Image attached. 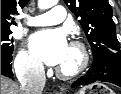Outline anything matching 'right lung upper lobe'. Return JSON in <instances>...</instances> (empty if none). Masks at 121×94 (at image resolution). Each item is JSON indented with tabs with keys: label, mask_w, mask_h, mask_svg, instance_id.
<instances>
[{
	"label": "right lung upper lobe",
	"mask_w": 121,
	"mask_h": 94,
	"mask_svg": "<svg viewBox=\"0 0 121 94\" xmlns=\"http://www.w3.org/2000/svg\"><path fill=\"white\" fill-rule=\"evenodd\" d=\"M29 0H1V30L10 29L13 21V15L18 14V9L23 8Z\"/></svg>",
	"instance_id": "obj_1"
}]
</instances>
